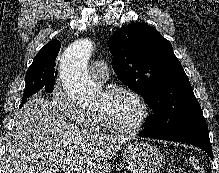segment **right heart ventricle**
<instances>
[{
    "mask_svg": "<svg viewBox=\"0 0 219 173\" xmlns=\"http://www.w3.org/2000/svg\"><path fill=\"white\" fill-rule=\"evenodd\" d=\"M91 115H92V124L90 127L96 128L98 126V118L96 115H93V114H91Z\"/></svg>",
    "mask_w": 219,
    "mask_h": 173,
    "instance_id": "obj_1",
    "label": "right heart ventricle"
}]
</instances>
